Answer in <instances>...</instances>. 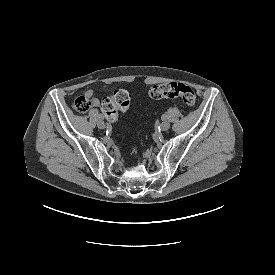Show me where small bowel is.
Masks as SVG:
<instances>
[{
  "instance_id": "obj_1",
  "label": "small bowel",
  "mask_w": 275,
  "mask_h": 275,
  "mask_svg": "<svg viewBox=\"0 0 275 275\" xmlns=\"http://www.w3.org/2000/svg\"><path fill=\"white\" fill-rule=\"evenodd\" d=\"M86 95H87L88 97H90L93 106H95V107H99V106H100V101H99L97 98H95V97L93 96V93H92L91 90H88V91L86 92Z\"/></svg>"
}]
</instances>
